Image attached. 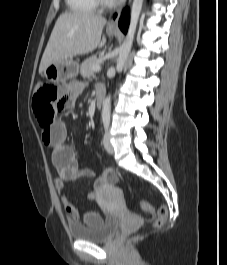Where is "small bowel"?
Listing matches in <instances>:
<instances>
[{
  "instance_id": "c3829d8e",
  "label": "small bowel",
  "mask_w": 227,
  "mask_h": 265,
  "mask_svg": "<svg viewBox=\"0 0 227 265\" xmlns=\"http://www.w3.org/2000/svg\"><path fill=\"white\" fill-rule=\"evenodd\" d=\"M61 89L65 99H59L57 104L58 112H69L75 106L77 98L85 89V84L80 81H64ZM42 141L52 150V162L58 172L55 180V187L64 204V208L69 218L73 222H83L86 225H94L102 220V217L92 211L81 212L67 198L64 188L66 182L75 181L80 178L93 179L92 189L87 198L91 201L97 200L101 188L104 185L113 184L117 180L116 173L110 169H105L100 175L89 168L78 166L73 149L67 144V129L62 121L54 120L49 127L42 130Z\"/></svg>"
}]
</instances>
